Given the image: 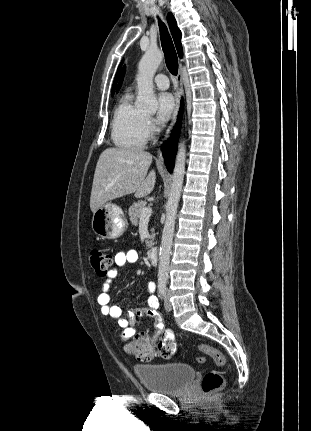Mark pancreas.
Segmentation results:
<instances>
[{"label": "pancreas", "instance_id": "cf45deb5", "mask_svg": "<svg viewBox=\"0 0 311 431\" xmlns=\"http://www.w3.org/2000/svg\"><path fill=\"white\" fill-rule=\"evenodd\" d=\"M143 208H147V202H142V200H138V202H134V204L130 206L128 210V216H130V221L132 225H138L139 217H141ZM150 231H152L150 237H147V239H145L146 249H149V247H152V245H154V227H151Z\"/></svg>", "mask_w": 311, "mask_h": 431}]
</instances>
